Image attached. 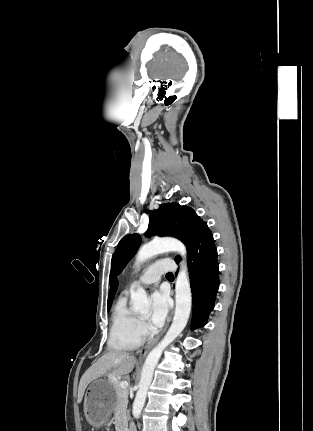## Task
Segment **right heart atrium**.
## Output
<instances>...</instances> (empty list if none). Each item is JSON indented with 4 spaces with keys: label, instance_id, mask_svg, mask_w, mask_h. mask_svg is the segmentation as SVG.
Returning <instances> with one entry per match:
<instances>
[{
    "label": "right heart atrium",
    "instance_id": "obj_1",
    "mask_svg": "<svg viewBox=\"0 0 313 431\" xmlns=\"http://www.w3.org/2000/svg\"><path fill=\"white\" fill-rule=\"evenodd\" d=\"M138 330L142 336H145L148 333V327L144 321L139 320Z\"/></svg>",
    "mask_w": 313,
    "mask_h": 431
}]
</instances>
